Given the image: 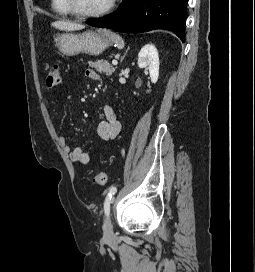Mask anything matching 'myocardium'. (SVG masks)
Instances as JSON below:
<instances>
[{
    "instance_id": "myocardium-1",
    "label": "myocardium",
    "mask_w": 255,
    "mask_h": 272,
    "mask_svg": "<svg viewBox=\"0 0 255 272\" xmlns=\"http://www.w3.org/2000/svg\"><path fill=\"white\" fill-rule=\"evenodd\" d=\"M115 1L116 0H109L103 9L96 12H89V13L79 11L75 7L73 0H64V3L68 11L75 17H78L81 19H91V18H100L110 13V11L113 9L115 5Z\"/></svg>"
}]
</instances>
